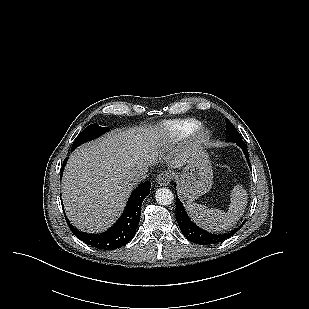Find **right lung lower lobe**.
<instances>
[{"mask_svg": "<svg viewBox=\"0 0 309 309\" xmlns=\"http://www.w3.org/2000/svg\"><path fill=\"white\" fill-rule=\"evenodd\" d=\"M74 149H71L73 151ZM67 158L63 162L61 174ZM151 183L146 181L131 194L119 220L107 231L100 234H88L77 230L66 218L72 233L86 244L102 250H113L127 244L134 237L141 215L143 199L150 193Z\"/></svg>", "mask_w": 309, "mask_h": 309, "instance_id": "right-lung-lower-lobe-1", "label": "right lung lower lobe"}]
</instances>
